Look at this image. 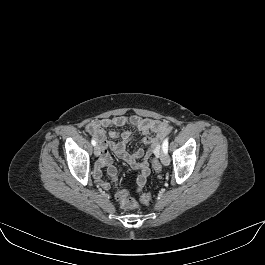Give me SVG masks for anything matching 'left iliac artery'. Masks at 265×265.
<instances>
[{
	"mask_svg": "<svg viewBox=\"0 0 265 265\" xmlns=\"http://www.w3.org/2000/svg\"><path fill=\"white\" fill-rule=\"evenodd\" d=\"M162 149L165 153L168 152V139H165L162 144Z\"/></svg>",
	"mask_w": 265,
	"mask_h": 265,
	"instance_id": "left-iliac-artery-1",
	"label": "left iliac artery"
}]
</instances>
